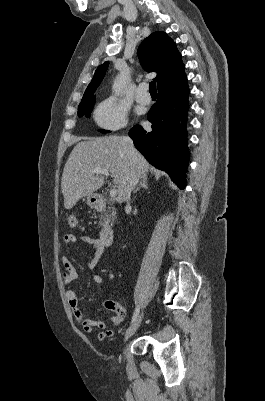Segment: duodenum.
I'll return each instance as SVG.
<instances>
[{"label": "duodenum", "mask_w": 265, "mask_h": 401, "mask_svg": "<svg viewBox=\"0 0 265 401\" xmlns=\"http://www.w3.org/2000/svg\"><path fill=\"white\" fill-rule=\"evenodd\" d=\"M95 207L97 209H102L104 207V202L100 199L96 200ZM100 241L104 247H109L114 241V232L110 228H103L100 233Z\"/></svg>", "instance_id": "obj_1"}]
</instances>
